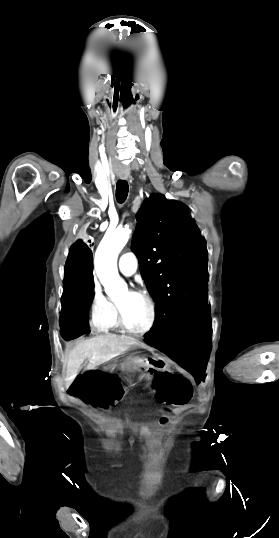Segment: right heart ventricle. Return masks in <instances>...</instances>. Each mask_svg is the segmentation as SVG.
Here are the masks:
<instances>
[{
    "label": "right heart ventricle",
    "instance_id": "e07e8e85",
    "mask_svg": "<svg viewBox=\"0 0 279 538\" xmlns=\"http://www.w3.org/2000/svg\"><path fill=\"white\" fill-rule=\"evenodd\" d=\"M100 231H103L106 228L104 226L98 227ZM132 226L126 225L124 227L110 228L107 234H117L123 239L126 240L128 233L130 232ZM109 301V314L101 330L117 329L120 327L117 314V300L114 298H108Z\"/></svg>",
    "mask_w": 279,
    "mask_h": 538
}]
</instances>
